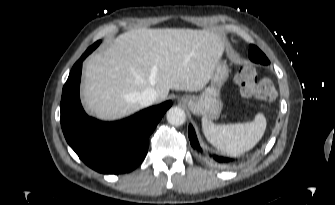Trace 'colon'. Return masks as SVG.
<instances>
[{
  "instance_id": "5ec220e1",
  "label": "colon",
  "mask_w": 335,
  "mask_h": 205,
  "mask_svg": "<svg viewBox=\"0 0 335 205\" xmlns=\"http://www.w3.org/2000/svg\"><path fill=\"white\" fill-rule=\"evenodd\" d=\"M235 82L244 96L264 100L275 96L273 82L269 79L258 80L256 70L251 66H242L235 74Z\"/></svg>"
}]
</instances>
